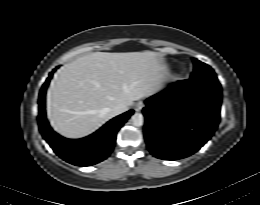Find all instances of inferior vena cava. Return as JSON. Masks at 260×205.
<instances>
[{"instance_id": "602c4592", "label": "inferior vena cava", "mask_w": 260, "mask_h": 205, "mask_svg": "<svg viewBox=\"0 0 260 205\" xmlns=\"http://www.w3.org/2000/svg\"><path fill=\"white\" fill-rule=\"evenodd\" d=\"M127 110H128V106L126 104L120 103L111 109V113L113 116H116L126 112Z\"/></svg>"}]
</instances>
